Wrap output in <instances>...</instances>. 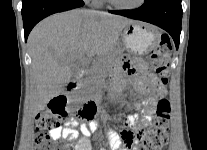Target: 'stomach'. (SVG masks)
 <instances>
[{
    "label": "stomach",
    "mask_w": 207,
    "mask_h": 150,
    "mask_svg": "<svg viewBox=\"0 0 207 150\" xmlns=\"http://www.w3.org/2000/svg\"><path fill=\"white\" fill-rule=\"evenodd\" d=\"M157 39V30L135 22L128 24L121 32V45L139 56L147 54Z\"/></svg>",
    "instance_id": "1"
}]
</instances>
